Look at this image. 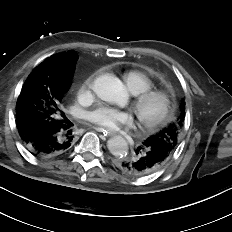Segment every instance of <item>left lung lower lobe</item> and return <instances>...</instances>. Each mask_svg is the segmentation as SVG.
<instances>
[{
    "label": "left lung lower lobe",
    "mask_w": 232,
    "mask_h": 232,
    "mask_svg": "<svg viewBox=\"0 0 232 232\" xmlns=\"http://www.w3.org/2000/svg\"><path fill=\"white\" fill-rule=\"evenodd\" d=\"M164 148L144 141L135 150L131 160L117 161V166L131 176H146L159 170L170 158Z\"/></svg>",
    "instance_id": "obj_1"
}]
</instances>
